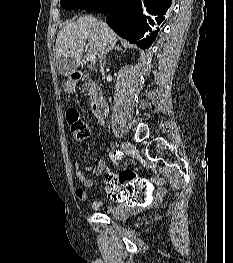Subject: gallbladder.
Wrapping results in <instances>:
<instances>
[{"label": "gallbladder", "instance_id": "gallbladder-1", "mask_svg": "<svg viewBox=\"0 0 233 263\" xmlns=\"http://www.w3.org/2000/svg\"><path fill=\"white\" fill-rule=\"evenodd\" d=\"M58 71H61V66L63 65V58L58 59L57 62Z\"/></svg>", "mask_w": 233, "mask_h": 263}]
</instances>
